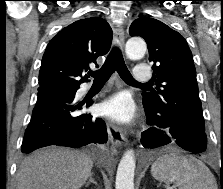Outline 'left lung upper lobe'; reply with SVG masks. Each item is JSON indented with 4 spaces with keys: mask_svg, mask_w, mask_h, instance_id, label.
I'll use <instances>...</instances> for the list:
<instances>
[{
    "mask_svg": "<svg viewBox=\"0 0 223 189\" xmlns=\"http://www.w3.org/2000/svg\"><path fill=\"white\" fill-rule=\"evenodd\" d=\"M129 33L144 38L156 90L143 93V105L161 114L170 126L205 131L193 56L184 37L163 22L140 17Z\"/></svg>",
    "mask_w": 223,
    "mask_h": 189,
    "instance_id": "5c2ea615",
    "label": "left lung upper lobe"
}]
</instances>
